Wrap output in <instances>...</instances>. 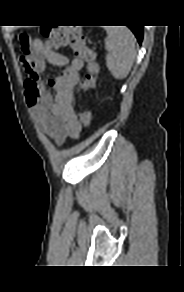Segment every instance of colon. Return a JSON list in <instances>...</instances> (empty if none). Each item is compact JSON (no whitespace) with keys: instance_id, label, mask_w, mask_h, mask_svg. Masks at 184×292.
Listing matches in <instances>:
<instances>
[{"instance_id":"obj_1","label":"colon","mask_w":184,"mask_h":292,"mask_svg":"<svg viewBox=\"0 0 184 292\" xmlns=\"http://www.w3.org/2000/svg\"><path fill=\"white\" fill-rule=\"evenodd\" d=\"M41 33L45 38L47 49L57 50L69 45L74 58L87 62L88 72L84 80L80 83L79 89L86 90L94 87L98 73L96 53L93 49L87 47L81 28L77 25L68 27H43L41 28ZM20 42L21 45L28 46L30 38L27 35H22ZM79 119L84 127H89L91 124V113L87 110H81L79 112Z\"/></svg>"}]
</instances>
